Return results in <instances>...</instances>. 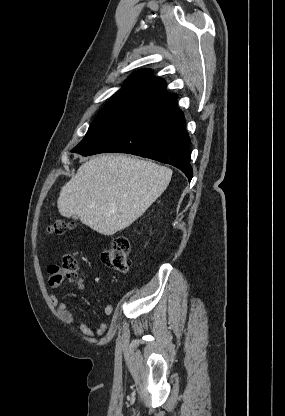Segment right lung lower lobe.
<instances>
[{
  "label": "right lung lower lobe",
  "mask_w": 285,
  "mask_h": 416,
  "mask_svg": "<svg viewBox=\"0 0 285 416\" xmlns=\"http://www.w3.org/2000/svg\"><path fill=\"white\" fill-rule=\"evenodd\" d=\"M185 124L184 115L177 106L161 109L79 154H134L171 164L179 168L191 181L193 171L190 165V138Z\"/></svg>",
  "instance_id": "obj_1"
}]
</instances>
